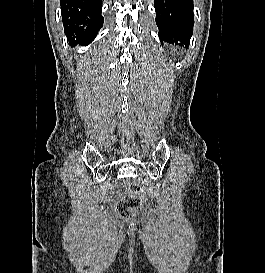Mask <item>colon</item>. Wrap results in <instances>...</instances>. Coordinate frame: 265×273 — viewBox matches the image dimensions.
Returning a JSON list of instances; mask_svg holds the SVG:
<instances>
[{
	"instance_id": "1",
	"label": "colon",
	"mask_w": 265,
	"mask_h": 273,
	"mask_svg": "<svg viewBox=\"0 0 265 273\" xmlns=\"http://www.w3.org/2000/svg\"><path fill=\"white\" fill-rule=\"evenodd\" d=\"M145 200V192L136 185H131L130 193L122 197L117 203V212L124 218L133 217Z\"/></svg>"
}]
</instances>
